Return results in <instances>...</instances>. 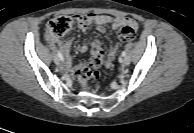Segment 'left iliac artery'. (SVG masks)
Here are the masks:
<instances>
[{
	"label": "left iliac artery",
	"mask_w": 194,
	"mask_h": 133,
	"mask_svg": "<svg viewBox=\"0 0 194 133\" xmlns=\"http://www.w3.org/2000/svg\"><path fill=\"white\" fill-rule=\"evenodd\" d=\"M121 55H122V57H126V52L123 51Z\"/></svg>",
	"instance_id": "1"
}]
</instances>
